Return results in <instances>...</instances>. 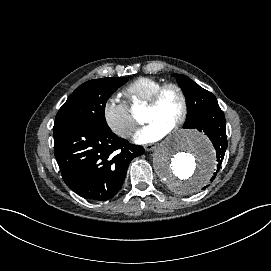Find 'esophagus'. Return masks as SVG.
<instances>
[{
	"instance_id": "obj_1",
	"label": "esophagus",
	"mask_w": 271,
	"mask_h": 271,
	"mask_svg": "<svg viewBox=\"0 0 271 271\" xmlns=\"http://www.w3.org/2000/svg\"><path fill=\"white\" fill-rule=\"evenodd\" d=\"M155 148H156V144L154 143H149V144L144 145V149L146 151H153Z\"/></svg>"
}]
</instances>
